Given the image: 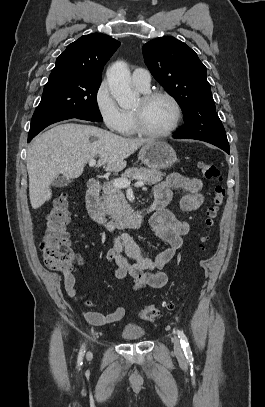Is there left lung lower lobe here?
<instances>
[{
  "instance_id": "1",
  "label": "left lung lower lobe",
  "mask_w": 265,
  "mask_h": 407,
  "mask_svg": "<svg viewBox=\"0 0 265 407\" xmlns=\"http://www.w3.org/2000/svg\"><path fill=\"white\" fill-rule=\"evenodd\" d=\"M176 138V137H174ZM219 148L223 149L225 152H227L228 154L230 153L229 151V147H223V146H218Z\"/></svg>"
}]
</instances>
